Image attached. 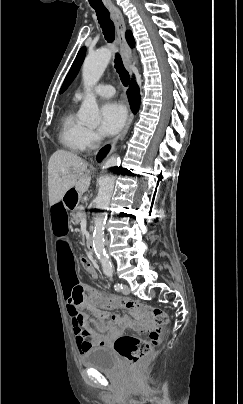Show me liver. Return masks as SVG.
I'll return each instance as SVG.
<instances>
[{
	"label": "liver",
	"instance_id": "1",
	"mask_svg": "<svg viewBox=\"0 0 243 404\" xmlns=\"http://www.w3.org/2000/svg\"><path fill=\"white\" fill-rule=\"evenodd\" d=\"M88 164L65 150H57L51 156L48 164L49 204L54 206L63 200L66 192L74 188L79 194L87 192L90 186L91 174Z\"/></svg>",
	"mask_w": 243,
	"mask_h": 404
}]
</instances>
